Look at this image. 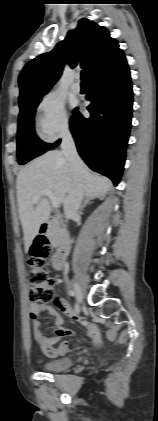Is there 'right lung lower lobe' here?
<instances>
[{
    "mask_svg": "<svg viewBox=\"0 0 158 421\" xmlns=\"http://www.w3.org/2000/svg\"><path fill=\"white\" fill-rule=\"evenodd\" d=\"M86 99L90 118L75 109L70 119L79 155L94 171L117 185L123 172L132 118V83L124 53L117 55L88 79ZM49 145L48 150L59 145Z\"/></svg>",
    "mask_w": 158,
    "mask_h": 421,
    "instance_id": "98d812e1",
    "label": "right lung lower lobe"
}]
</instances>
